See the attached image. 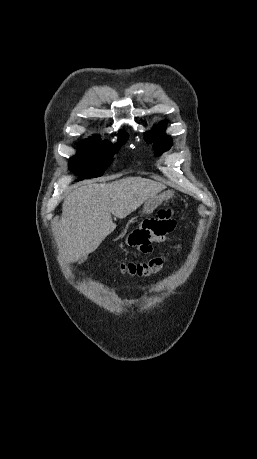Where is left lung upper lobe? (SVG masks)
<instances>
[{"mask_svg": "<svg viewBox=\"0 0 257 459\" xmlns=\"http://www.w3.org/2000/svg\"><path fill=\"white\" fill-rule=\"evenodd\" d=\"M165 126L166 121L161 122L157 128L149 132L146 136L148 143L154 142V149L158 155L168 150L172 145L171 139L164 134Z\"/></svg>", "mask_w": 257, "mask_h": 459, "instance_id": "5c2ea615", "label": "left lung upper lobe"}]
</instances>
